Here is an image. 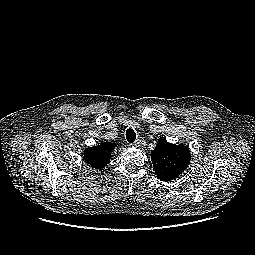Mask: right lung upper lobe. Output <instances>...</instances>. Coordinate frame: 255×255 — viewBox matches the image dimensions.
<instances>
[{
    "mask_svg": "<svg viewBox=\"0 0 255 255\" xmlns=\"http://www.w3.org/2000/svg\"><path fill=\"white\" fill-rule=\"evenodd\" d=\"M115 147V143L106 142L86 148L84 151L85 162L94 169L102 170L110 162L111 153Z\"/></svg>",
    "mask_w": 255,
    "mask_h": 255,
    "instance_id": "cb5924a9",
    "label": "right lung upper lobe"
}]
</instances>
